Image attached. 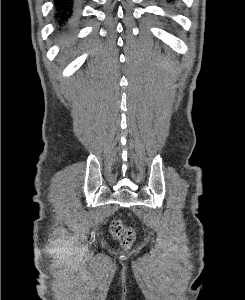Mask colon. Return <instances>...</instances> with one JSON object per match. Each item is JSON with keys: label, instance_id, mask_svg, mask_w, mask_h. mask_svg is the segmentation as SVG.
<instances>
[{"label": "colon", "instance_id": "1", "mask_svg": "<svg viewBox=\"0 0 245 300\" xmlns=\"http://www.w3.org/2000/svg\"><path fill=\"white\" fill-rule=\"evenodd\" d=\"M110 232L123 247H129L135 239L134 230L126 226L119 219H115L111 222Z\"/></svg>", "mask_w": 245, "mask_h": 300}]
</instances>
